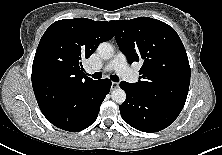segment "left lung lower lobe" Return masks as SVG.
Returning <instances> with one entry per match:
<instances>
[{
	"label": "left lung lower lobe",
	"mask_w": 222,
	"mask_h": 155,
	"mask_svg": "<svg viewBox=\"0 0 222 155\" xmlns=\"http://www.w3.org/2000/svg\"><path fill=\"white\" fill-rule=\"evenodd\" d=\"M126 101L119 105L122 119L142 132H158L168 127L183 107L141 93L131 83L122 81Z\"/></svg>",
	"instance_id": "1"
}]
</instances>
